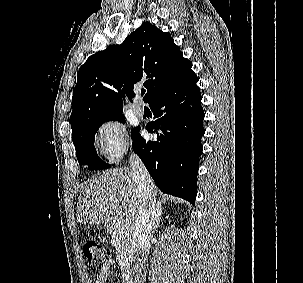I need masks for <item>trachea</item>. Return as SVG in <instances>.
Wrapping results in <instances>:
<instances>
[{"label":"trachea","instance_id":"trachea-1","mask_svg":"<svg viewBox=\"0 0 303 283\" xmlns=\"http://www.w3.org/2000/svg\"><path fill=\"white\" fill-rule=\"evenodd\" d=\"M141 94L144 95V94H145V90H142V91H141Z\"/></svg>","mask_w":303,"mask_h":283}]
</instances>
